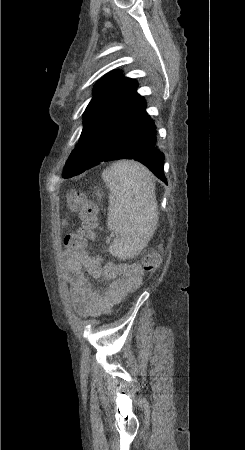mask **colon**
Listing matches in <instances>:
<instances>
[{
    "instance_id": "obj_1",
    "label": "colon",
    "mask_w": 245,
    "mask_h": 450,
    "mask_svg": "<svg viewBox=\"0 0 245 450\" xmlns=\"http://www.w3.org/2000/svg\"><path fill=\"white\" fill-rule=\"evenodd\" d=\"M66 199L69 210L78 213L81 225L76 232L64 237L63 244L77 257H82L86 253L87 242L96 240L98 208L96 203L83 192L69 191ZM139 264L144 271L154 272L160 264V256L157 252H148L140 258Z\"/></svg>"
}]
</instances>
